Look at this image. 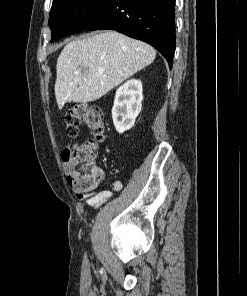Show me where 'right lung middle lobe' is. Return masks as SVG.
Listing matches in <instances>:
<instances>
[{
    "mask_svg": "<svg viewBox=\"0 0 247 296\" xmlns=\"http://www.w3.org/2000/svg\"><path fill=\"white\" fill-rule=\"evenodd\" d=\"M103 0H53L49 15L52 41L86 29Z\"/></svg>",
    "mask_w": 247,
    "mask_h": 296,
    "instance_id": "dd1d6c3e",
    "label": "right lung middle lobe"
}]
</instances>
